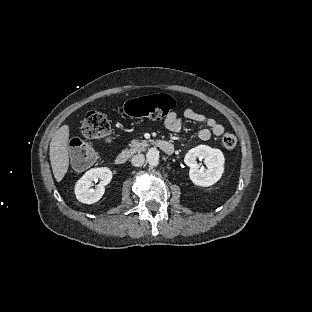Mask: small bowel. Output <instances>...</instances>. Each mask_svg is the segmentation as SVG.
<instances>
[{"label":"small bowel","instance_id":"1","mask_svg":"<svg viewBox=\"0 0 312 312\" xmlns=\"http://www.w3.org/2000/svg\"><path fill=\"white\" fill-rule=\"evenodd\" d=\"M184 120L194 123H204L207 127L198 132L201 140H209L212 135L221 136L224 133V126L215 118L207 117L205 114L197 112L191 108H186L182 115L171 110L163 120L166 130L171 133H179L183 129Z\"/></svg>","mask_w":312,"mask_h":312}]
</instances>
